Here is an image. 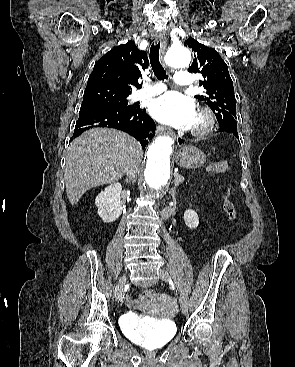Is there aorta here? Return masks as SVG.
Segmentation results:
<instances>
[{"mask_svg":"<svg viewBox=\"0 0 295 367\" xmlns=\"http://www.w3.org/2000/svg\"><path fill=\"white\" fill-rule=\"evenodd\" d=\"M165 62L172 68H185L191 63V54L184 46L172 47L166 54ZM173 145L172 137L161 135L148 148L144 178L151 193L159 194L169 183Z\"/></svg>","mask_w":295,"mask_h":367,"instance_id":"aorta-1","label":"aorta"}]
</instances>
